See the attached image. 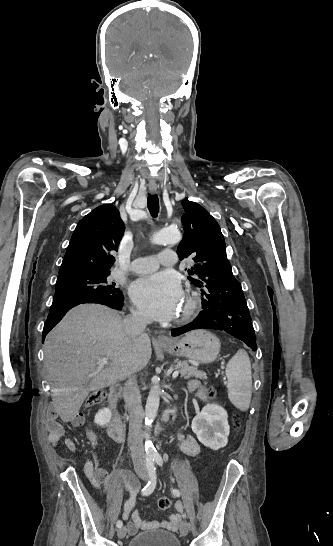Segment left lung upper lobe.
Listing matches in <instances>:
<instances>
[{
    "instance_id": "obj_1",
    "label": "left lung upper lobe",
    "mask_w": 333,
    "mask_h": 546,
    "mask_svg": "<svg viewBox=\"0 0 333 546\" xmlns=\"http://www.w3.org/2000/svg\"><path fill=\"white\" fill-rule=\"evenodd\" d=\"M184 236L177 254L180 260L191 257L195 264L188 269V277L200 288L208 309L211 300L221 303L244 302L241 284L232 273L226 257L225 240L217 221L195 202L182 201Z\"/></svg>"
}]
</instances>
